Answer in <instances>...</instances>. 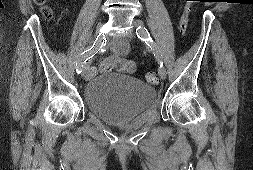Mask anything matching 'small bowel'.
I'll return each mask as SVG.
<instances>
[{"instance_id": "small-bowel-1", "label": "small bowel", "mask_w": 253, "mask_h": 170, "mask_svg": "<svg viewBox=\"0 0 253 170\" xmlns=\"http://www.w3.org/2000/svg\"><path fill=\"white\" fill-rule=\"evenodd\" d=\"M119 46L122 50H126L127 49V43L126 42H120L119 43ZM116 59L113 61L112 63V68L111 69H118V70H121L123 72H128L126 70V67L129 66V65H133L134 66V62L131 61V60H128L127 58H124L122 56H114ZM107 62V61H106ZM105 62V63H106ZM104 64V63H103ZM102 64V65H103ZM102 68V66H101ZM92 75L93 73L95 72V69L93 68L92 69Z\"/></svg>"}]
</instances>
